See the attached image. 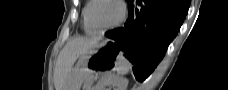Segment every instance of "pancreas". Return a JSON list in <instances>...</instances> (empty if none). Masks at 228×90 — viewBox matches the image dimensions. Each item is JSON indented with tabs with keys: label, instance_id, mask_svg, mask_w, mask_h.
<instances>
[{
	"label": "pancreas",
	"instance_id": "1",
	"mask_svg": "<svg viewBox=\"0 0 228 90\" xmlns=\"http://www.w3.org/2000/svg\"><path fill=\"white\" fill-rule=\"evenodd\" d=\"M94 77L93 75H90L84 82L83 90H92L93 83H94Z\"/></svg>",
	"mask_w": 228,
	"mask_h": 90
}]
</instances>
